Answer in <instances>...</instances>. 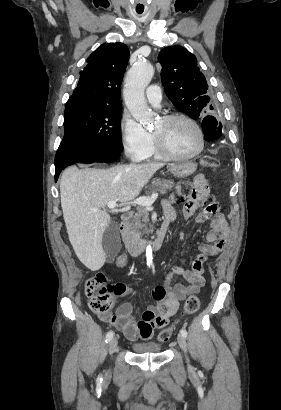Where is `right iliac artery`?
Wrapping results in <instances>:
<instances>
[{
    "label": "right iliac artery",
    "mask_w": 281,
    "mask_h": 410,
    "mask_svg": "<svg viewBox=\"0 0 281 410\" xmlns=\"http://www.w3.org/2000/svg\"><path fill=\"white\" fill-rule=\"evenodd\" d=\"M114 332L113 331H109L106 335V343H108L112 338H113ZM101 380V379H100Z\"/></svg>",
    "instance_id": "1"
}]
</instances>
